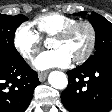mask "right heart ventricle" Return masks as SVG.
<instances>
[{
    "instance_id": "right-heart-ventricle-1",
    "label": "right heart ventricle",
    "mask_w": 112,
    "mask_h": 112,
    "mask_svg": "<svg viewBox=\"0 0 112 112\" xmlns=\"http://www.w3.org/2000/svg\"><path fill=\"white\" fill-rule=\"evenodd\" d=\"M76 22L72 17L57 12L37 16L32 25L36 27L39 36L52 37L66 26Z\"/></svg>"
}]
</instances>
